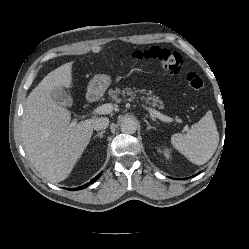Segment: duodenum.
<instances>
[{"mask_svg": "<svg viewBox=\"0 0 249 249\" xmlns=\"http://www.w3.org/2000/svg\"><path fill=\"white\" fill-rule=\"evenodd\" d=\"M96 97H97V93L95 91H91L87 95V100L89 102H92V101H94L96 99Z\"/></svg>", "mask_w": 249, "mask_h": 249, "instance_id": "1", "label": "duodenum"}]
</instances>
